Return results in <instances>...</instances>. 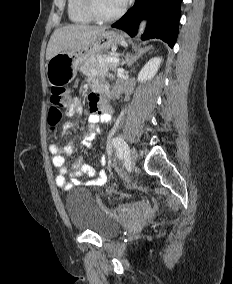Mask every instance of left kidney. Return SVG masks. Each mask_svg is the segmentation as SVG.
<instances>
[{
  "instance_id": "5707ae66",
  "label": "left kidney",
  "mask_w": 233,
  "mask_h": 284,
  "mask_svg": "<svg viewBox=\"0 0 233 284\" xmlns=\"http://www.w3.org/2000/svg\"><path fill=\"white\" fill-rule=\"evenodd\" d=\"M161 62H162V58H159V57H154L150 59L146 63V65L141 69L138 75V81L146 82L147 80H151L157 73Z\"/></svg>"
}]
</instances>
